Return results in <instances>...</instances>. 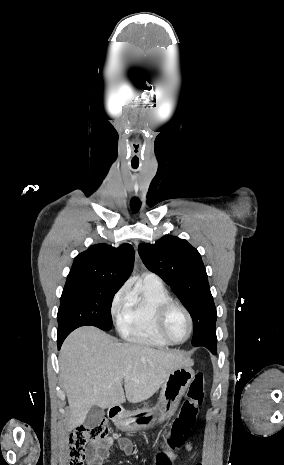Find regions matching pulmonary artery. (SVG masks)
<instances>
[{"instance_id":"e3ab8cb5","label":"pulmonary artery","mask_w":284,"mask_h":465,"mask_svg":"<svg viewBox=\"0 0 284 465\" xmlns=\"http://www.w3.org/2000/svg\"><path fill=\"white\" fill-rule=\"evenodd\" d=\"M143 277L144 279L149 280V281H162L161 278L154 273H144Z\"/></svg>"}]
</instances>
